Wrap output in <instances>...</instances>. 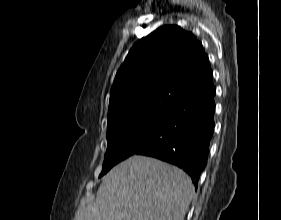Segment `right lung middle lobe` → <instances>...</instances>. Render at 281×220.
Listing matches in <instances>:
<instances>
[{"label":"right lung middle lobe","mask_w":281,"mask_h":220,"mask_svg":"<svg viewBox=\"0 0 281 220\" xmlns=\"http://www.w3.org/2000/svg\"><path fill=\"white\" fill-rule=\"evenodd\" d=\"M168 113L127 115L107 124V151L103 176L114 165L133 155L162 126Z\"/></svg>","instance_id":"dd1d6c3e"}]
</instances>
